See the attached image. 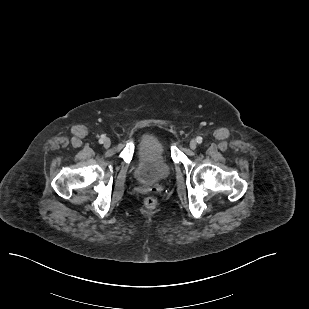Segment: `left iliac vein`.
Masks as SVG:
<instances>
[{
  "label": "left iliac vein",
  "instance_id": "obj_1",
  "mask_svg": "<svg viewBox=\"0 0 309 309\" xmlns=\"http://www.w3.org/2000/svg\"><path fill=\"white\" fill-rule=\"evenodd\" d=\"M196 147H197V141L194 140V139L191 140L190 141V148L194 150V149H196Z\"/></svg>",
  "mask_w": 309,
  "mask_h": 309
}]
</instances>
